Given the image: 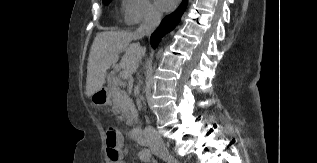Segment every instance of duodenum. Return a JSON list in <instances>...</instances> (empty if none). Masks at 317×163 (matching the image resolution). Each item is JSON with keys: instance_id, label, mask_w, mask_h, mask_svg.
Listing matches in <instances>:
<instances>
[{"instance_id": "410a0bca", "label": "duodenum", "mask_w": 317, "mask_h": 163, "mask_svg": "<svg viewBox=\"0 0 317 163\" xmlns=\"http://www.w3.org/2000/svg\"><path fill=\"white\" fill-rule=\"evenodd\" d=\"M131 136L138 144L146 146L145 134L141 128L134 127L131 131Z\"/></svg>"}]
</instances>
